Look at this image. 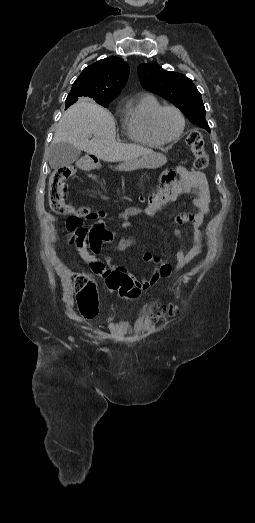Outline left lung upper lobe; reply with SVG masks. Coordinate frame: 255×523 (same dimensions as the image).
Segmentation results:
<instances>
[{
    "mask_svg": "<svg viewBox=\"0 0 255 523\" xmlns=\"http://www.w3.org/2000/svg\"><path fill=\"white\" fill-rule=\"evenodd\" d=\"M138 76L143 88L173 103L193 124L210 133L201 94L191 79L180 73L165 71L157 64L139 65Z\"/></svg>",
    "mask_w": 255,
    "mask_h": 523,
    "instance_id": "obj_1",
    "label": "left lung upper lobe"
}]
</instances>
